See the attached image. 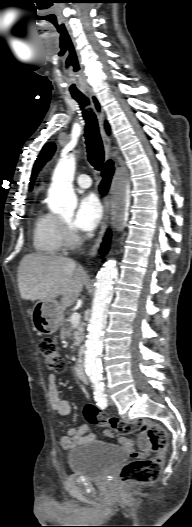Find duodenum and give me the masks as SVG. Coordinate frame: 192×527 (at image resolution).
I'll return each mask as SVG.
<instances>
[{
    "label": "duodenum",
    "mask_w": 192,
    "mask_h": 527,
    "mask_svg": "<svg viewBox=\"0 0 192 527\" xmlns=\"http://www.w3.org/2000/svg\"><path fill=\"white\" fill-rule=\"evenodd\" d=\"M76 374L78 376V378L84 382V383H87L88 382V378L86 376V373H85V367H84V364L83 363H78L77 366H76Z\"/></svg>",
    "instance_id": "duodenum-1"
}]
</instances>
